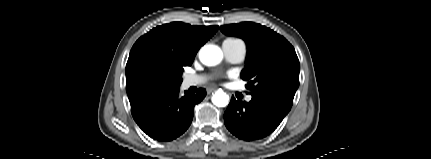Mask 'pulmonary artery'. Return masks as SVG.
<instances>
[{
	"label": "pulmonary artery",
	"instance_id": "obj_1",
	"mask_svg": "<svg viewBox=\"0 0 431 159\" xmlns=\"http://www.w3.org/2000/svg\"><path fill=\"white\" fill-rule=\"evenodd\" d=\"M222 50L225 58L230 63H240L246 56V46L243 41L237 39H227L222 43ZM206 81L203 75L187 76L184 80L186 87L196 86ZM252 99L251 95L246 96V101Z\"/></svg>",
	"mask_w": 431,
	"mask_h": 159
}]
</instances>
